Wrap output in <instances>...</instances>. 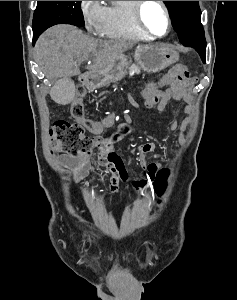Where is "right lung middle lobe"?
Here are the masks:
<instances>
[{
	"label": "right lung middle lobe",
	"mask_w": 237,
	"mask_h": 300,
	"mask_svg": "<svg viewBox=\"0 0 237 300\" xmlns=\"http://www.w3.org/2000/svg\"><path fill=\"white\" fill-rule=\"evenodd\" d=\"M81 1H38L33 17V41L55 24L84 26Z\"/></svg>",
	"instance_id": "right-lung-middle-lobe-1"
}]
</instances>
